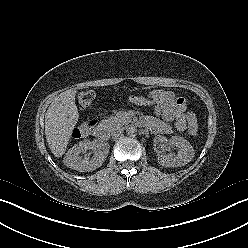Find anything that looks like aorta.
<instances>
[{"mask_svg":"<svg viewBox=\"0 0 248 248\" xmlns=\"http://www.w3.org/2000/svg\"><path fill=\"white\" fill-rule=\"evenodd\" d=\"M126 134L130 137H135L137 134V129L135 126L130 125L126 128Z\"/></svg>","mask_w":248,"mask_h":248,"instance_id":"762f6f07","label":"aorta"}]
</instances>
